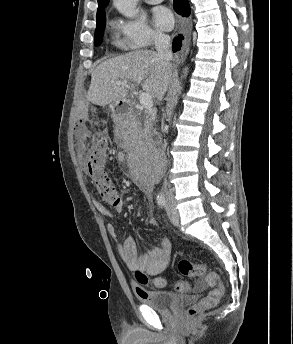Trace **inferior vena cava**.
<instances>
[{
  "label": "inferior vena cava",
  "mask_w": 293,
  "mask_h": 344,
  "mask_svg": "<svg viewBox=\"0 0 293 344\" xmlns=\"http://www.w3.org/2000/svg\"><path fill=\"white\" fill-rule=\"evenodd\" d=\"M153 42L158 54V57L168 66L170 67V61L173 58L172 52L170 50V37L161 32H155L153 34ZM163 191L166 196H172V193L168 191L167 184H164Z\"/></svg>",
  "instance_id": "inferior-vena-cava-1"
}]
</instances>
